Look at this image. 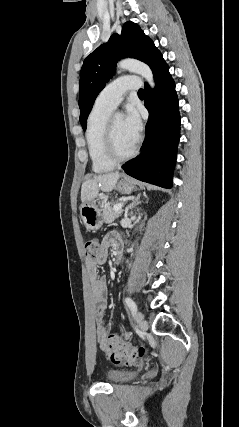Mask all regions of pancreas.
<instances>
[{
	"mask_svg": "<svg viewBox=\"0 0 239 427\" xmlns=\"http://www.w3.org/2000/svg\"><path fill=\"white\" fill-rule=\"evenodd\" d=\"M121 214H122V211L115 212L114 209L110 206V204H106L102 208L103 221L106 224L112 223L116 218L121 216Z\"/></svg>",
	"mask_w": 239,
	"mask_h": 427,
	"instance_id": "pancreas-1",
	"label": "pancreas"
}]
</instances>
